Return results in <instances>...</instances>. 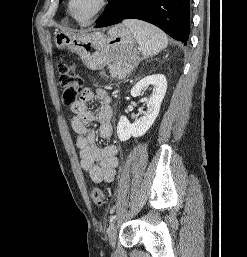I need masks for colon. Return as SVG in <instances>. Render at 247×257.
Listing matches in <instances>:
<instances>
[{"label": "colon", "mask_w": 247, "mask_h": 257, "mask_svg": "<svg viewBox=\"0 0 247 257\" xmlns=\"http://www.w3.org/2000/svg\"><path fill=\"white\" fill-rule=\"evenodd\" d=\"M59 84L62 88L63 98L66 102L75 101L82 91V79L76 74L75 66L66 60H62L58 65ZM92 202L96 206H103L106 196L102 189L94 187L90 191Z\"/></svg>", "instance_id": "5ec220e1"}]
</instances>
